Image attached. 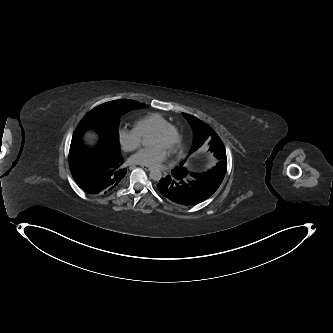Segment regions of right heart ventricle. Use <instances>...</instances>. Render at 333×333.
<instances>
[{
    "label": "right heart ventricle",
    "instance_id": "1",
    "mask_svg": "<svg viewBox=\"0 0 333 333\" xmlns=\"http://www.w3.org/2000/svg\"><path fill=\"white\" fill-rule=\"evenodd\" d=\"M166 125H171V122L159 113H149L135 121V128L142 136Z\"/></svg>",
    "mask_w": 333,
    "mask_h": 333
}]
</instances>
